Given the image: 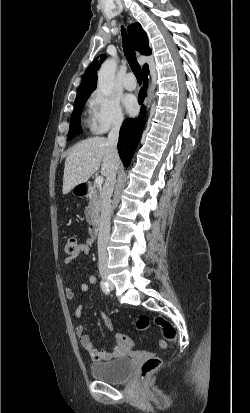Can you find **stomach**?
<instances>
[{
    "instance_id": "obj_1",
    "label": "stomach",
    "mask_w": 250,
    "mask_h": 413,
    "mask_svg": "<svg viewBox=\"0 0 250 413\" xmlns=\"http://www.w3.org/2000/svg\"><path fill=\"white\" fill-rule=\"evenodd\" d=\"M80 185V184H79ZM78 186V185H77ZM74 195H79L80 193L76 190V186L72 189Z\"/></svg>"
}]
</instances>
